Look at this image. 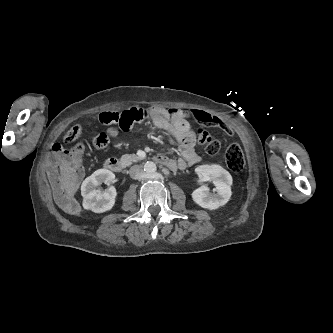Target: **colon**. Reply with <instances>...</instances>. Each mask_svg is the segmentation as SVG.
<instances>
[{
  "instance_id": "5ec220e1",
  "label": "colon",
  "mask_w": 333,
  "mask_h": 333,
  "mask_svg": "<svg viewBox=\"0 0 333 333\" xmlns=\"http://www.w3.org/2000/svg\"><path fill=\"white\" fill-rule=\"evenodd\" d=\"M153 108H145L142 106L129 108L123 112H103L99 116V121L105 125L117 124L121 128L132 123H138L143 120H150L155 117ZM82 128L79 125L71 127L64 136L63 143L57 142L53 145V152L61 155L65 152L64 145L75 143L81 136ZM196 136L199 144H201L208 155H215L220 150V142L211 137V135L202 127L196 131ZM109 143V138L106 134H100L93 140V146L96 149L105 148ZM80 144L76 145L72 152L80 148ZM225 162L227 167L233 172H240L245 165V157L243 150L239 144H231L225 151Z\"/></svg>"
}]
</instances>
